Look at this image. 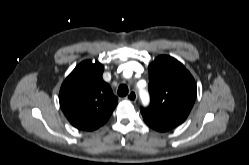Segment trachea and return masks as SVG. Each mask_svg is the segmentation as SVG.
<instances>
[{
    "mask_svg": "<svg viewBox=\"0 0 249 165\" xmlns=\"http://www.w3.org/2000/svg\"><path fill=\"white\" fill-rule=\"evenodd\" d=\"M127 94H128V87H127L126 85H124V84L120 85V86L118 87V95H119L120 97H124V96H126Z\"/></svg>",
    "mask_w": 249,
    "mask_h": 165,
    "instance_id": "trachea-1",
    "label": "trachea"
}]
</instances>
